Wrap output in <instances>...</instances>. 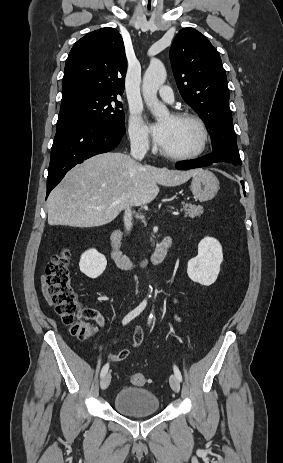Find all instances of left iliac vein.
Masks as SVG:
<instances>
[{"label": "left iliac vein", "mask_w": 283, "mask_h": 463, "mask_svg": "<svg viewBox=\"0 0 283 463\" xmlns=\"http://www.w3.org/2000/svg\"><path fill=\"white\" fill-rule=\"evenodd\" d=\"M169 383L173 391H175L176 393L180 391V381L175 375L170 376Z\"/></svg>", "instance_id": "4c4485c4"}]
</instances>
